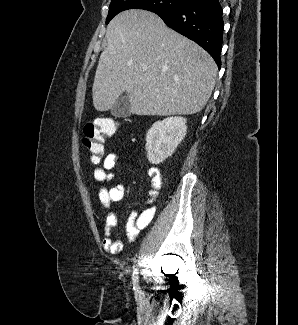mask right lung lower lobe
Segmentation results:
<instances>
[{
  "label": "right lung lower lobe",
  "instance_id": "1",
  "mask_svg": "<svg viewBox=\"0 0 298 325\" xmlns=\"http://www.w3.org/2000/svg\"><path fill=\"white\" fill-rule=\"evenodd\" d=\"M155 13L168 27L203 47L221 67L223 18L219 0H191L181 8Z\"/></svg>",
  "mask_w": 298,
  "mask_h": 325
}]
</instances>
